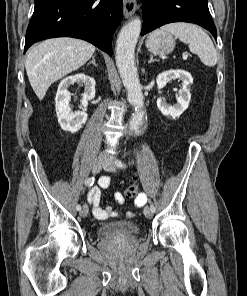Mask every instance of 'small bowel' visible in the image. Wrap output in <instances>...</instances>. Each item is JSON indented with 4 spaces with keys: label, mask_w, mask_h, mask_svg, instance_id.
<instances>
[{
    "label": "small bowel",
    "mask_w": 247,
    "mask_h": 296,
    "mask_svg": "<svg viewBox=\"0 0 247 296\" xmlns=\"http://www.w3.org/2000/svg\"><path fill=\"white\" fill-rule=\"evenodd\" d=\"M110 185L109 177H102L99 181V186L91 188L87 194V201L92 209L93 215L99 220H106L109 217L115 216L116 212L111 208L107 207L105 209L100 207V197L101 191L107 189ZM115 201L119 204L124 203L125 198L121 192H116L114 195ZM147 202V196L140 193L134 200V205L136 207H141ZM128 216H133V213L129 212Z\"/></svg>",
    "instance_id": "c3829d8e"
}]
</instances>
